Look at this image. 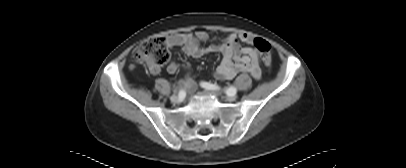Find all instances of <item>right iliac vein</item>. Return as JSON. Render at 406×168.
Here are the masks:
<instances>
[{
	"label": "right iliac vein",
	"instance_id": "right-iliac-vein-1",
	"mask_svg": "<svg viewBox=\"0 0 406 168\" xmlns=\"http://www.w3.org/2000/svg\"><path fill=\"white\" fill-rule=\"evenodd\" d=\"M170 100H171V102H173V103H177V102L180 100V98H179L178 95H172V96L170 97Z\"/></svg>",
	"mask_w": 406,
	"mask_h": 168
}]
</instances>
